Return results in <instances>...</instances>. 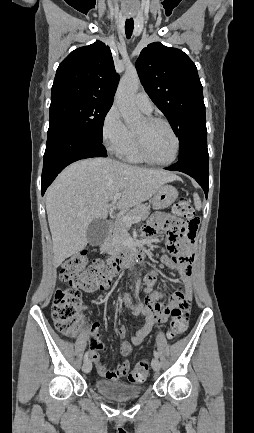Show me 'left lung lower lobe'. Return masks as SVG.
<instances>
[{
	"mask_svg": "<svg viewBox=\"0 0 254 433\" xmlns=\"http://www.w3.org/2000/svg\"><path fill=\"white\" fill-rule=\"evenodd\" d=\"M208 161V152L199 151L179 159L177 163L165 169L180 171L193 177L203 188L207 198L209 181Z\"/></svg>",
	"mask_w": 254,
	"mask_h": 433,
	"instance_id": "1",
	"label": "left lung lower lobe"
}]
</instances>
